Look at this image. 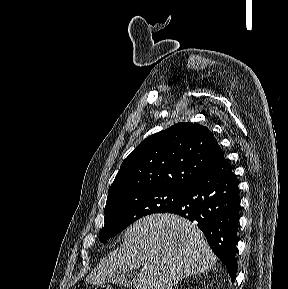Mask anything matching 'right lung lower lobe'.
Masks as SVG:
<instances>
[{
    "label": "right lung lower lobe",
    "mask_w": 288,
    "mask_h": 289,
    "mask_svg": "<svg viewBox=\"0 0 288 289\" xmlns=\"http://www.w3.org/2000/svg\"><path fill=\"white\" fill-rule=\"evenodd\" d=\"M239 189L225 158L193 179L168 212L195 221L232 281L237 270Z\"/></svg>",
    "instance_id": "98d812e1"
}]
</instances>
